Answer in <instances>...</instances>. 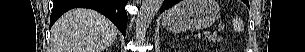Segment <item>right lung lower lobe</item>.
I'll list each match as a JSON object with an SVG mask.
<instances>
[{
	"label": "right lung lower lobe",
	"mask_w": 305,
	"mask_h": 52,
	"mask_svg": "<svg viewBox=\"0 0 305 52\" xmlns=\"http://www.w3.org/2000/svg\"><path fill=\"white\" fill-rule=\"evenodd\" d=\"M128 0H53V11L50 18V28L66 11L82 7L94 9L110 19L123 36L126 35L127 13L125 5Z\"/></svg>",
	"instance_id": "1"
}]
</instances>
